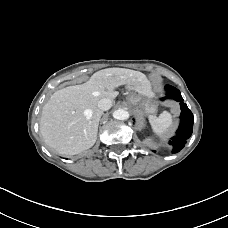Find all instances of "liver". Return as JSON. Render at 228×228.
I'll use <instances>...</instances> for the list:
<instances>
[{
  "label": "liver",
  "mask_w": 228,
  "mask_h": 228,
  "mask_svg": "<svg viewBox=\"0 0 228 228\" xmlns=\"http://www.w3.org/2000/svg\"><path fill=\"white\" fill-rule=\"evenodd\" d=\"M120 86L143 96L151 95L146 75L125 68L103 69L84 84L56 91L42 109L40 132L45 143L56 153L69 156L91 148L102 115L98 102L115 99Z\"/></svg>",
  "instance_id": "1"
}]
</instances>
